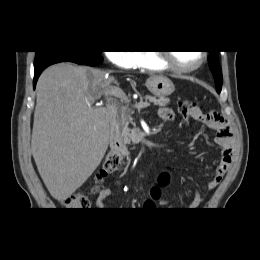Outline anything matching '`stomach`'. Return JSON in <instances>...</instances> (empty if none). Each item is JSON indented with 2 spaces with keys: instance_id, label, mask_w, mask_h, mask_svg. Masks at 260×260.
I'll return each mask as SVG.
<instances>
[{
  "instance_id": "0dacf381",
  "label": "stomach",
  "mask_w": 260,
  "mask_h": 260,
  "mask_svg": "<svg viewBox=\"0 0 260 260\" xmlns=\"http://www.w3.org/2000/svg\"><path fill=\"white\" fill-rule=\"evenodd\" d=\"M147 89L156 97L164 98L175 91L173 82L164 76L150 77L146 81Z\"/></svg>"
}]
</instances>
